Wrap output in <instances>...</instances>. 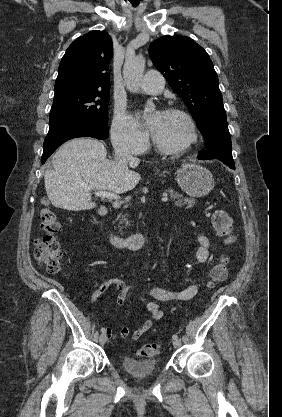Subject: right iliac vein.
<instances>
[{
	"label": "right iliac vein",
	"instance_id": "obj_1",
	"mask_svg": "<svg viewBox=\"0 0 282 417\" xmlns=\"http://www.w3.org/2000/svg\"><path fill=\"white\" fill-rule=\"evenodd\" d=\"M107 341V335L105 333L101 334L99 337L100 344L104 345Z\"/></svg>",
	"mask_w": 282,
	"mask_h": 417
}]
</instances>
